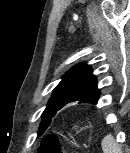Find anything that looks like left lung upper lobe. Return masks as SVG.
Masks as SVG:
<instances>
[{
    "label": "left lung upper lobe",
    "instance_id": "1",
    "mask_svg": "<svg viewBox=\"0 0 130 153\" xmlns=\"http://www.w3.org/2000/svg\"><path fill=\"white\" fill-rule=\"evenodd\" d=\"M99 95L97 80L92 74V70L84 63L74 66L64 75L62 81L55 88L42 114L38 136L45 132L57 110L66 105L67 101L75 99L83 100L85 103H96Z\"/></svg>",
    "mask_w": 130,
    "mask_h": 153
}]
</instances>
